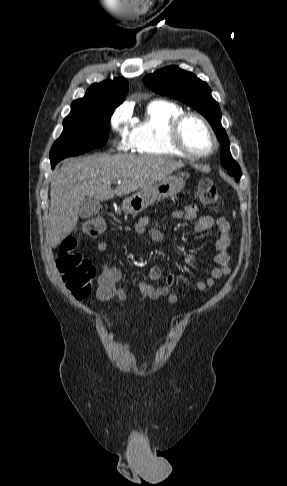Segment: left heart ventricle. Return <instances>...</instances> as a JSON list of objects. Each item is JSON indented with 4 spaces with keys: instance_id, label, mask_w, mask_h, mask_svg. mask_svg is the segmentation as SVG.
I'll return each mask as SVG.
<instances>
[{
    "instance_id": "1",
    "label": "left heart ventricle",
    "mask_w": 287,
    "mask_h": 486,
    "mask_svg": "<svg viewBox=\"0 0 287 486\" xmlns=\"http://www.w3.org/2000/svg\"><path fill=\"white\" fill-rule=\"evenodd\" d=\"M182 139L186 147L194 152H206L211 147V138L204 126L195 118L185 122Z\"/></svg>"
}]
</instances>
